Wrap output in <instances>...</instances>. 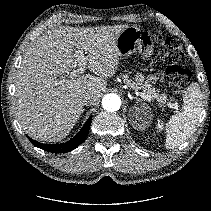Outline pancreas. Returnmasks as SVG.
<instances>
[{
  "mask_svg": "<svg viewBox=\"0 0 211 211\" xmlns=\"http://www.w3.org/2000/svg\"><path fill=\"white\" fill-rule=\"evenodd\" d=\"M127 82V85L131 88L138 90L142 89L145 94H147L152 100H157L161 106H164L168 101V97L165 93L160 94L158 90H155L148 81L144 80L142 75H138L135 78V82L129 79L128 75L123 76Z\"/></svg>",
  "mask_w": 211,
  "mask_h": 211,
  "instance_id": "cf45deb5",
  "label": "pancreas"
}]
</instances>
